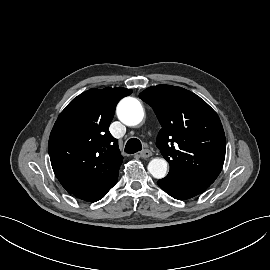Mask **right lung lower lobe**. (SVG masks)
Segmentation results:
<instances>
[{"instance_id": "98d812e1", "label": "right lung lower lobe", "mask_w": 270, "mask_h": 270, "mask_svg": "<svg viewBox=\"0 0 270 270\" xmlns=\"http://www.w3.org/2000/svg\"><path fill=\"white\" fill-rule=\"evenodd\" d=\"M118 180V173L109 181L82 191L73 193V195L79 199L89 202H95L102 199L106 193L116 184Z\"/></svg>"}]
</instances>
